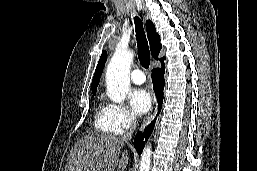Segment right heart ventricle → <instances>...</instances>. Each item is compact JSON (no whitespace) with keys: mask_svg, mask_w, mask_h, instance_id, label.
<instances>
[{"mask_svg":"<svg viewBox=\"0 0 257 171\" xmlns=\"http://www.w3.org/2000/svg\"><path fill=\"white\" fill-rule=\"evenodd\" d=\"M95 129L104 134H118L120 133L113 125L107 105L99 103L94 117Z\"/></svg>","mask_w":257,"mask_h":171,"instance_id":"1","label":"right heart ventricle"}]
</instances>
